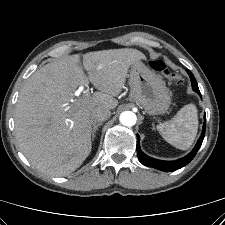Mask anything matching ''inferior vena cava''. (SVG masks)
I'll return each instance as SVG.
<instances>
[{"label": "inferior vena cava", "mask_w": 225, "mask_h": 225, "mask_svg": "<svg viewBox=\"0 0 225 225\" xmlns=\"http://www.w3.org/2000/svg\"><path fill=\"white\" fill-rule=\"evenodd\" d=\"M111 116L110 109L99 106L91 109V118L94 123L107 120Z\"/></svg>", "instance_id": "1"}]
</instances>
